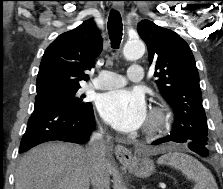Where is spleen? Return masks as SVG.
<instances>
[{
	"instance_id": "obj_1",
	"label": "spleen",
	"mask_w": 223,
	"mask_h": 189,
	"mask_svg": "<svg viewBox=\"0 0 223 189\" xmlns=\"http://www.w3.org/2000/svg\"><path fill=\"white\" fill-rule=\"evenodd\" d=\"M158 164H164L181 171L188 180L195 182L193 189H218L212 173L197 159L180 152L162 155Z\"/></svg>"
}]
</instances>
